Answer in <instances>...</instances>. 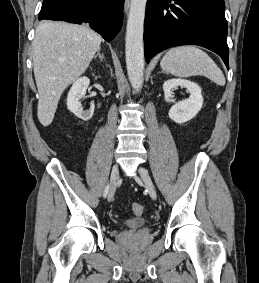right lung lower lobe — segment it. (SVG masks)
<instances>
[{
    "label": "right lung lower lobe",
    "instance_id": "right-lung-lower-lobe-1",
    "mask_svg": "<svg viewBox=\"0 0 259 283\" xmlns=\"http://www.w3.org/2000/svg\"><path fill=\"white\" fill-rule=\"evenodd\" d=\"M124 0H44L39 19L87 23L107 42L120 31Z\"/></svg>",
    "mask_w": 259,
    "mask_h": 283
}]
</instances>
